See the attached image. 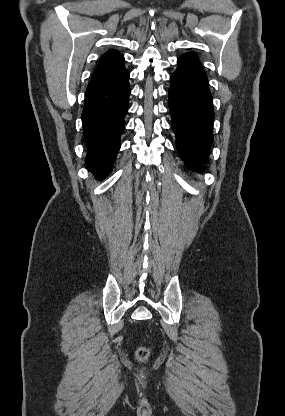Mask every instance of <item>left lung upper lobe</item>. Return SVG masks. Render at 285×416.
I'll list each match as a JSON object with an SVG mask.
<instances>
[{"instance_id": "1", "label": "left lung upper lobe", "mask_w": 285, "mask_h": 416, "mask_svg": "<svg viewBox=\"0 0 285 416\" xmlns=\"http://www.w3.org/2000/svg\"><path fill=\"white\" fill-rule=\"evenodd\" d=\"M184 55H186V56H192V57L197 58V56H196L195 54H193V53H186V54H184Z\"/></svg>"}]
</instances>
